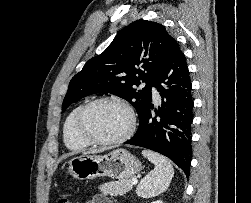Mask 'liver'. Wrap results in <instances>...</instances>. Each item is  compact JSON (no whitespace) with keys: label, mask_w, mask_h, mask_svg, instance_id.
<instances>
[{"label":"liver","mask_w":251,"mask_h":203,"mask_svg":"<svg viewBox=\"0 0 251 203\" xmlns=\"http://www.w3.org/2000/svg\"><path fill=\"white\" fill-rule=\"evenodd\" d=\"M104 150H105L104 148H101V149H98V150H90V151H88V152H84L83 155L101 153V152H103Z\"/></svg>","instance_id":"liver-1"}]
</instances>
